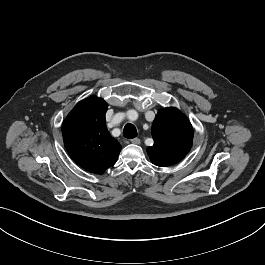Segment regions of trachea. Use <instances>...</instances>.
Wrapping results in <instances>:
<instances>
[{"instance_id":"trachea-1","label":"trachea","mask_w":265,"mask_h":265,"mask_svg":"<svg viewBox=\"0 0 265 265\" xmlns=\"http://www.w3.org/2000/svg\"><path fill=\"white\" fill-rule=\"evenodd\" d=\"M123 136L128 139H133L137 136V129L133 124H126L123 130Z\"/></svg>"}]
</instances>
